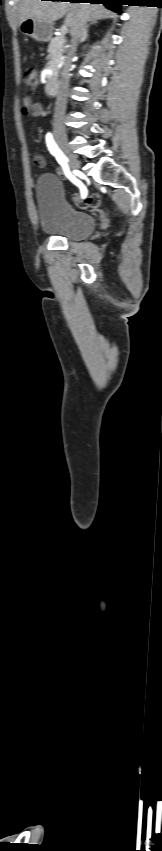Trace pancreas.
<instances>
[{
  "label": "pancreas",
  "instance_id": "1",
  "mask_svg": "<svg viewBox=\"0 0 162 851\" xmlns=\"http://www.w3.org/2000/svg\"><path fill=\"white\" fill-rule=\"evenodd\" d=\"M48 52L51 60L47 64V67L52 71V76H56L60 65L66 58V56H62L63 53L67 52L63 37L57 36L53 38L48 46Z\"/></svg>",
  "mask_w": 162,
  "mask_h": 851
}]
</instances>
